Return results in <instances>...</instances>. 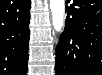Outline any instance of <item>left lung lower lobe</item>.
I'll use <instances>...</instances> for the list:
<instances>
[{"label":"left lung lower lobe","mask_w":102,"mask_h":75,"mask_svg":"<svg viewBox=\"0 0 102 75\" xmlns=\"http://www.w3.org/2000/svg\"><path fill=\"white\" fill-rule=\"evenodd\" d=\"M55 75H102V1L66 0Z\"/></svg>","instance_id":"1"}]
</instances>
